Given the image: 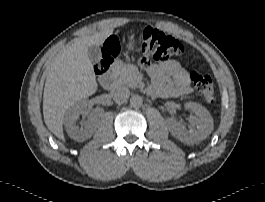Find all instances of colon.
Listing matches in <instances>:
<instances>
[{
  "label": "colon",
  "instance_id": "colon-1",
  "mask_svg": "<svg viewBox=\"0 0 265 202\" xmlns=\"http://www.w3.org/2000/svg\"><path fill=\"white\" fill-rule=\"evenodd\" d=\"M141 41V54L139 61L148 63L150 59L165 61L170 57L182 55L185 47L176 37L156 29L146 28L139 32ZM121 38L111 36L105 43L104 53L95 65L98 75L105 74L110 64L119 54ZM190 79L196 89L198 96L207 104L215 103L213 81L205 71L189 70Z\"/></svg>",
  "mask_w": 265,
  "mask_h": 202
}]
</instances>
